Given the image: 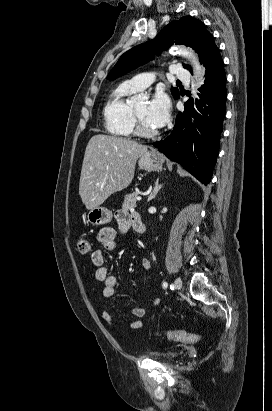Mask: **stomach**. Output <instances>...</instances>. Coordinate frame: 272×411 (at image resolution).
Instances as JSON below:
<instances>
[{"mask_svg":"<svg viewBox=\"0 0 272 411\" xmlns=\"http://www.w3.org/2000/svg\"><path fill=\"white\" fill-rule=\"evenodd\" d=\"M164 159L156 151H147L138 159L140 169L146 171H158L162 168ZM87 220L93 226H99L109 223L112 220V212L105 207L93 208L87 215Z\"/></svg>","mask_w":272,"mask_h":411,"instance_id":"0dacf381","label":"stomach"}]
</instances>
